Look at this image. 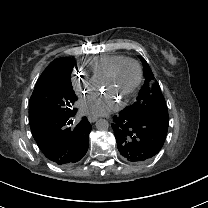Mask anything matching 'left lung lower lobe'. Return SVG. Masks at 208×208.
<instances>
[{
  "instance_id": "obj_1",
  "label": "left lung lower lobe",
  "mask_w": 208,
  "mask_h": 208,
  "mask_svg": "<svg viewBox=\"0 0 208 208\" xmlns=\"http://www.w3.org/2000/svg\"><path fill=\"white\" fill-rule=\"evenodd\" d=\"M113 121L117 148L127 161L145 162L161 150L168 125L154 118L132 115L123 110L113 117Z\"/></svg>"
}]
</instances>
